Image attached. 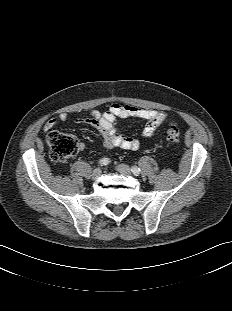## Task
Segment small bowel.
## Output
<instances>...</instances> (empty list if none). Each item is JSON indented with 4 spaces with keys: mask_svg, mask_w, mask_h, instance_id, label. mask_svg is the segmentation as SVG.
<instances>
[{
    "mask_svg": "<svg viewBox=\"0 0 232 311\" xmlns=\"http://www.w3.org/2000/svg\"><path fill=\"white\" fill-rule=\"evenodd\" d=\"M139 118L146 121L142 130L143 138L152 137L161 122L165 119V113L139 106L121 105L113 103L105 112L99 110H90L88 117H78L75 119L77 123L89 125L100 133L103 145L106 149L121 148L125 150H137L140 143L137 139L125 136L118 132L116 121L118 118ZM70 117L66 113H61L49 119L43 127L45 132H49L58 126L61 122H68ZM80 150L85 149V144H78Z\"/></svg>",
    "mask_w": 232,
    "mask_h": 311,
    "instance_id": "obj_1",
    "label": "small bowel"
}]
</instances>
